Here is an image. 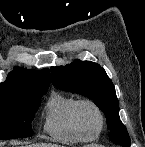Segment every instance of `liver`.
I'll return each mask as SVG.
<instances>
[{
  "label": "liver",
  "mask_w": 145,
  "mask_h": 147,
  "mask_svg": "<svg viewBox=\"0 0 145 147\" xmlns=\"http://www.w3.org/2000/svg\"><path fill=\"white\" fill-rule=\"evenodd\" d=\"M28 147H61V146L51 143H38V144L30 145Z\"/></svg>",
  "instance_id": "6515ba94"
}]
</instances>
